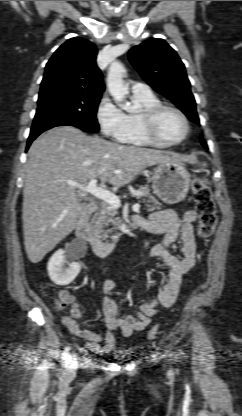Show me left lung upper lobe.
I'll return each mask as SVG.
<instances>
[{"label":"left lung upper lobe","instance_id":"left-lung-upper-lobe-1","mask_svg":"<svg viewBox=\"0 0 242 416\" xmlns=\"http://www.w3.org/2000/svg\"><path fill=\"white\" fill-rule=\"evenodd\" d=\"M128 58L155 91L171 100L191 121L199 124L185 66L172 47L163 39L151 38L131 48Z\"/></svg>","mask_w":242,"mask_h":416}]
</instances>
